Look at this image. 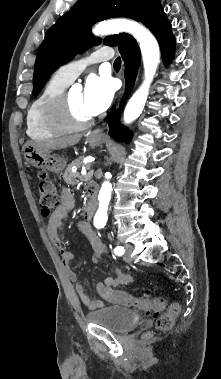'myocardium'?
<instances>
[{
	"mask_svg": "<svg viewBox=\"0 0 221 379\" xmlns=\"http://www.w3.org/2000/svg\"><path fill=\"white\" fill-rule=\"evenodd\" d=\"M46 120L50 127L62 132L81 130L93 122L92 117L86 120H78L74 117L69 103V91L67 90H64L49 105Z\"/></svg>",
	"mask_w": 221,
	"mask_h": 379,
	"instance_id": "myocardium-1",
	"label": "myocardium"
}]
</instances>
